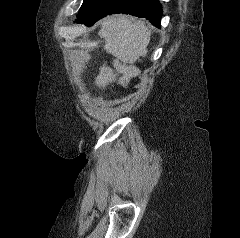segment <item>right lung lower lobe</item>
Returning a JSON list of instances; mask_svg holds the SVG:
<instances>
[{"label":"right lung lower lobe","mask_w":240,"mask_h":238,"mask_svg":"<svg viewBox=\"0 0 240 238\" xmlns=\"http://www.w3.org/2000/svg\"><path fill=\"white\" fill-rule=\"evenodd\" d=\"M114 13H124L146 18L153 25L159 27L162 8L158 0H123L108 14Z\"/></svg>","instance_id":"right-lung-lower-lobe-1"}]
</instances>
